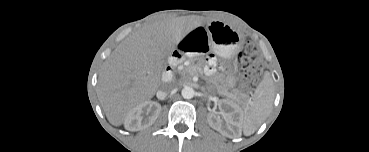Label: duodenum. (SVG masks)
Returning <instances> with one entry per match:
<instances>
[{
	"instance_id": "1",
	"label": "duodenum",
	"mask_w": 369,
	"mask_h": 152,
	"mask_svg": "<svg viewBox=\"0 0 369 152\" xmlns=\"http://www.w3.org/2000/svg\"><path fill=\"white\" fill-rule=\"evenodd\" d=\"M173 59H174V56H171L169 65L165 68V70L163 72L162 79H163L164 82H170L173 79V76H174Z\"/></svg>"
}]
</instances>
